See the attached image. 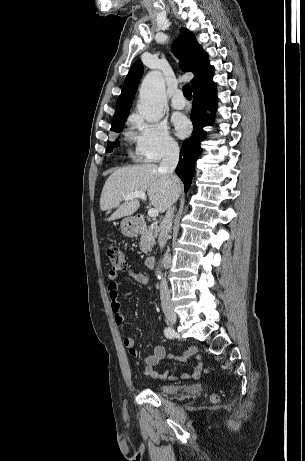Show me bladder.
Wrapping results in <instances>:
<instances>
[{
    "instance_id": "1",
    "label": "bladder",
    "mask_w": 305,
    "mask_h": 461,
    "mask_svg": "<svg viewBox=\"0 0 305 461\" xmlns=\"http://www.w3.org/2000/svg\"><path fill=\"white\" fill-rule=\"evenodd\" d=\"M154 389L161 393H174L181 389V386L173 383H157L154 385Z\"/></svg>"
}]
</instances>
